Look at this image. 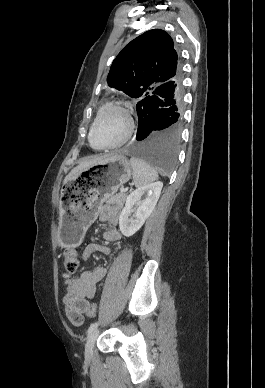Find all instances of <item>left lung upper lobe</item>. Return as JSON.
Masks as SVG:
<instances>
[{"label": "left lung upper lobe", "instance_id": "left-lung-upper-lobe-1", "mask_svg": "<svg viewBox=\"0 0 265 388\" xmlns=\"http://www.w3.org/2000/svg\"><path fill=\"white\" fill-rule=\"evenodd\" d=\"M180 77L182 69L172 38L163 30L153 29L121 50L112 62L107 83L141 102L160 85Z\"/></svg>", "mask_w": 265, "mask_h": 388}]
</instances>
